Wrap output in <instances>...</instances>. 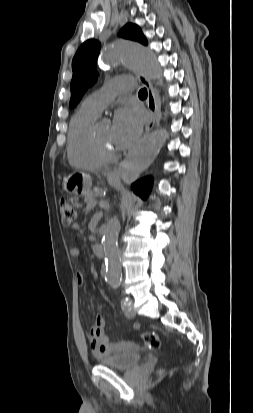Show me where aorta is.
<instances>
[{"instance_id":"762f6f07","label":"aorta","mask_w":253,"mask_h":413,"mask_svg":"<svg viewBox=\"0 0 253 413\" xmlns=\"http://www.w3.org/2000/svg\"><path fill=\"white\" fill-rule=\"evenodd\" d=\"M102 58L106 63L123 62L130 69L139 71L153 80L162 81V72L154 53L136 41L118 40L105 48ZM167 137L165 130H158L144 137L134 147L121 169V178L125 184L133 183L148 168ZM119 231L120 221L114 216L105 224L102 232L105 278L112 287H118L120 283L121 264L117 248Z\"/></svg>"}]
</instances>
